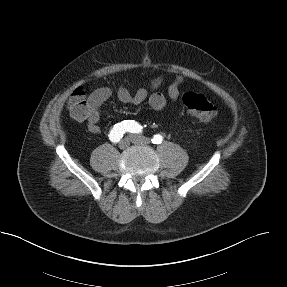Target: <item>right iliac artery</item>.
<instances>
[{
  "label": "right iliac artery",
  "mask_w": 287,
  "mask_h": 287,
  "mask_svg": "<svg viewBox=\"0 0 287 287\" xmlns=\"http://www.w3.org/2000/svg\"><path fill=\"white\" fill-rule=\"evenodd\" d=\"M130 123L131 121L125 120V121H122L121 123L115 124L108 135L109 139L112 142L116 143L120 141V139L123 137V135L126 132H134V129H130ZM141 129L142 127L139 125L138 133L142 131Z\"/></svg>",
  "instance_id": "1"
}]
</instances>
